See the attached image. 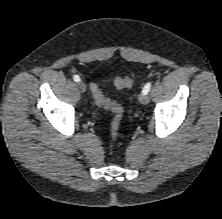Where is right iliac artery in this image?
Here are the masks:
<instances>
[{
    "mask_svg": "<svg viewBox=\"0 0 222 219\" xmlns=\"http://www.w3.org/2000/svg\"><path fill=\"white\" fill-rule=\"evenodd\" d=\"M73 79H74L75 82L80 81V77H79L78 75H75V76L73 77Z\"/></svg>",
    "mask_w": 222,
    "mask_h": 219,
    "instance_id": "obj_1",
    "label": "right iliac artery"
}]
</instances>
